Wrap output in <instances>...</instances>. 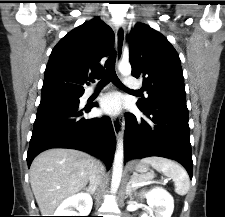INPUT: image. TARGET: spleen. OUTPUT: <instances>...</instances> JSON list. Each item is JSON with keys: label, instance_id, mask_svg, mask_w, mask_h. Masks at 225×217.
<instances>
[{"label": "spleen", "instance_id": "spleen-1", "mask_svg": "<svg viewBox=\"0 0 225 217\" xmlns=\"http://www.w3.org/2000/svg\"><path fill=\"white\" fill-rule=\"evenodd\" d=\"M141 162L151 165L155 170L162 172L165 176L171 177L174 181L175 191L183 196L190 188L189 176L186 170L173 160L163 157H147Z\"/></svg>", "mask_w": 225, "mask_h": 217}]
</instances>
